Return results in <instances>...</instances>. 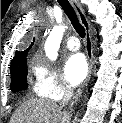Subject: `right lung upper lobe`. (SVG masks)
Returning <instances> with one entry per match:
<instances>
[{
  "mask_svg": "<svg viewBox=\"0 0 122 123\" xmlns=\"http://www.w3.org/2000/svg\"><path fill=\"white\" fill-rule=\"evenodd\" d=\"M33 43H31L30 47L27 48L24 51H16L15 53V57L13 58V60L11 61V67L10 70L19 66L21 63H23L24 61H26V56L27 53L29 51V49L32 47Z\"/></svg>",
  "mask_w": 122,
  "mask_h": 123,
  "instance_id": "1",
  "label": "right lung upper lobe"
}]
</instances>
